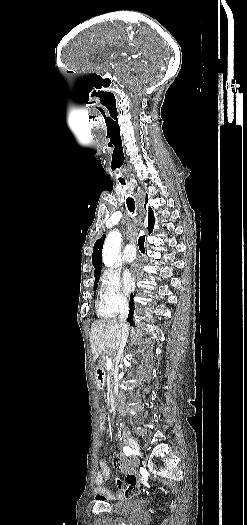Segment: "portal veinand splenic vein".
I'll return each instance as SVG.
<instances>
[{
  "instance_id": "obj_1",
  "label": "portal vein and splenic vein",
  "mask_w": 247,
  "mask_h": 525,
  "mask_svg": "<svg viewBox=\"0 0 247 525\" xmlns=\"http://www.w3.org/2000/svg\"><path fill=\"white\" fill-rule=\"evenodd\" d=\"M114 362V357L112 356H109L106 360V366H107V370H111V363ZM106 383H110V377H109V372H106Z\"/></svg>"
}]
</instances>
